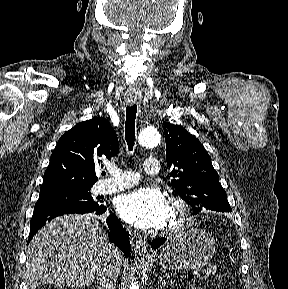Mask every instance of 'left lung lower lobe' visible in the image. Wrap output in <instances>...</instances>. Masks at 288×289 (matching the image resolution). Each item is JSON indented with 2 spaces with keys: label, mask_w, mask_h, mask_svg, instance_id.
Instances as JSON below:
<instances>
[{
  "label": "left lung lower lobe",
  "mask_w": 288,
  "mask_h": 289,
  "mask_svg": "<svg viewBox=\"0 0 288 289\" xmlns=\"http://www.w3.org/2000/svg\"><path fill=\"white\" fill-rule=\"evenodd\" d=\"M166 241V238H157L154 239L151 243V247L152 249L156 250L157 248H159L162 244H164V242Z\"/></svg>",
  "instance_id": "1"
}]
</instances>
